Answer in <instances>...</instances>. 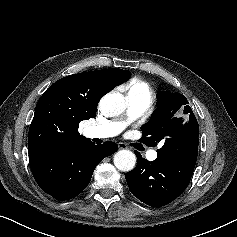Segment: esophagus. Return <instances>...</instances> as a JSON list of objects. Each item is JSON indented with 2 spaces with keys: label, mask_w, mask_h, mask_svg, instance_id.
<instances>
[{
  "label": "esophagus",
  "mask_w": 237,
  "mask_h": 237,
  "mask_svg": "<svg viewBox=\"0 0 237 237\" xmlns=\"http://www.w3.org/2000/svg\"><path fill=\"white\" fill-rule=\"evenodd\" d=\"M117 145L120 150L128 148L127 145L123 142H119Z\"/></svg>",
  "instance_id": "obj_1"
}]
</instances>
